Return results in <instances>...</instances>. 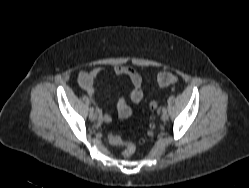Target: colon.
Masks as SVG:
<instances>
[{"mask_svg":"<svg viewBox=\"0 0 249 188\" xmlns=\"http://www.w3.org/2000/svg\"><path fill=\"white\" fill-rule=\"evenodd\" d=\"M157 81L162 86H173L176 83V76L171 72H162L158 75ZM150 108L151 110H154L156 108V104L152 102L150 104ZM154 128H155L154 122H150L147 130V134L149 136L153 135ZM108 142L112 145H124L125 148L123 151V155L126 157L131 156L135 151L134 145L130 143H125L123 139L119 136L109 134ZM141 143H144V141L142 140Z\"/></svg>","mask_w":249,"mask_h":188,"instance_id":"1","label":"colon"}]
</instances>
